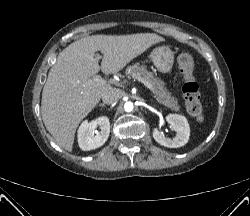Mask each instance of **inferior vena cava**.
Segmentation results:
<instances>
[{
    "mask_svg": "<svg viewBox=\"0 0 250 216\" xmlns=\"http://www.w3.org/2000/svg\"><path fill=\"white\" fill-rule=\"evenodd\" d=\"M123 96V91L117 88H109L102 94V101L106 104L114 103Z\"/></svg>",
    "mask_w": 250,
    "mask_h": 216,
    "instance_id": "inferior-vena-cava-1",
    "label": "inferior vena cava"
}]
</instances>
